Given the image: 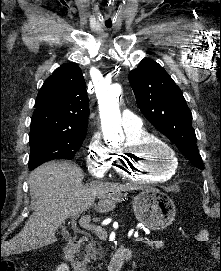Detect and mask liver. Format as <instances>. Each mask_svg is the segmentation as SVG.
Wrapping results in <instances>:
<instances>
[{
	"label": "liver",
	"mask_w": 221,
	"mask_h": 271,
	"mask_svg": "<svg viewBox=\"0 0 221 271\" xmlns=\"http://www.w3.org/2000/svg\"><path fill=\"white\" fill-rule=\"evenodd\" d=\"M83 177V169L67 161H48L33 169L29 175L33 211L21 231L5 241L4 253H22L54 243L58 227L69 215H78L89 207L96 211L114 209L119 197H112L109 191L138 189L129 183L117 185L111 181H90L83 185ZM96 195L100 197L98 203Z\"/></svg>",
	"instance_id": "liver-1"
}]
</instances>
